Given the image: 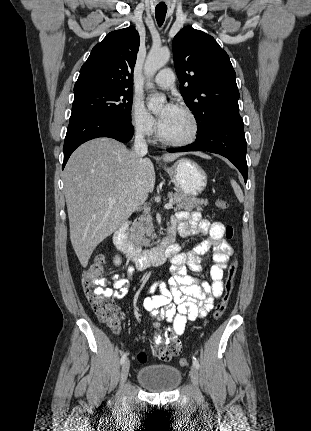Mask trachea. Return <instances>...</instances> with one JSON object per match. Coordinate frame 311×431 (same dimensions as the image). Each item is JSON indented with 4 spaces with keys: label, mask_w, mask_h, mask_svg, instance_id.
<instances>
[{
    "label": "trachea",
    "mask_w": 311,
    "mask_h": 431,
    "mask_svg": "<svg viewBox=\"0 0 311 431\" xmlns=\"http://www.w3.org/2000/svg\"><path fill=\"white\" fill-rule=\"evenodd\" d=\"M166 13L167 7H156V20L159 26L163 24Z\"/></svg>",
    "instance_id": "obj_1"
}]
</instances>
